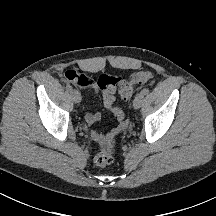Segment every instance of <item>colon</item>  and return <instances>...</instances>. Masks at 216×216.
Listing matches in <instances>:
<instances>
[{"label": "colon", "mask_w": 216, "mask_h": 216, "mask_svg": "<svg viewBox=\"0 0 216 216\" xmlns=\"http://www.w3.org/2000/svg\"><path fill=\"white\" fill-rule=\"evenodd\" d=\"M69 81H77L81 78V74L74 70H68L64 74ZM154 73L152 71H141L131 75L128 80H122L118 76L102 74L97 81L99 88L103 93V100L108 109L113 113L115 118L123 127L124 113L120 106L114 103V93L117 91L123 100H127L133 93L136 86L142 85L152 79ZM115 148V140L108 139L104 142V147L94 157V162L99 167H106L113 161V152Z\"/></svg>", "instance_id": "1"}]
</instances>
